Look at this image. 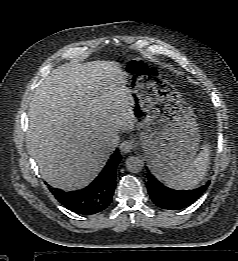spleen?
I'll use <instances>...</instances> for the list:
<instances>
[{
    "label": "spleen",
    "mask_w": 238,
    "mask_h": 261,
    "mask_svg": "<svg viewBox=\"0 0 238 261\" xmlns=\"http://www.w3.org/2000/svg\"><path fill=\"white\" fill-rule=\"evenodd\" d=\"M210 145L205 143L202 151L179 174L167 179L165 184L177 190H191L206 176L211 159Z\"/></svg>",
    "instance_id": "spleen-1"
}]
</instances>
